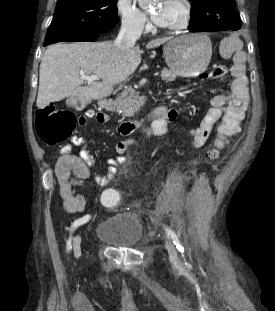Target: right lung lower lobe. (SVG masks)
<instances>
[{
    "instance_id": "98d812e1",
    "label": "right lung lower lobe",
    "mask_w": 275,
    "mask_h": 311,
    "mask_svg": "<svg viewBox=\"0 0 275 311\" xmlns=\"http://www.w3.org/2000/svg\"><path fill=\"white\" fill-rule=\"evenodd\" d=\"M102 33L99 32H84V33H80L77 35H74L72 37H69L65 40L62 41H67V42H74V41H95L97 39V37L99 35H101ZM59 41L56 42H44V46L49 45V44H53V43H57Z\"/></svg>"
}]
</instances>
